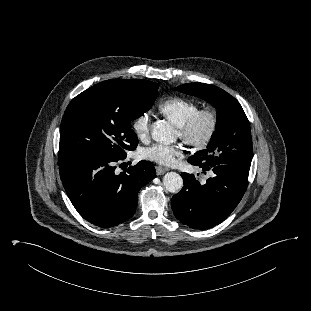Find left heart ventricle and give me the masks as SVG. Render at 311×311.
<instances>
[{"label":"left heart ventricle","instance_id":"left-heart-ventricle-1","mask_svg":"<svg viewBox=\"0 0 311 311\" xmlns=\"http://www.w3.org/2000/svg\"><path fill=\"white\" fill-rule=\"evenodd\" d=\"M205 126H206L205 123H203V124L200 125V127H199V133H202V132L204 131ZM178 134H179V133H178Z\"/></svg>","mask_w":311,"mask_h":311}]
</instances>
